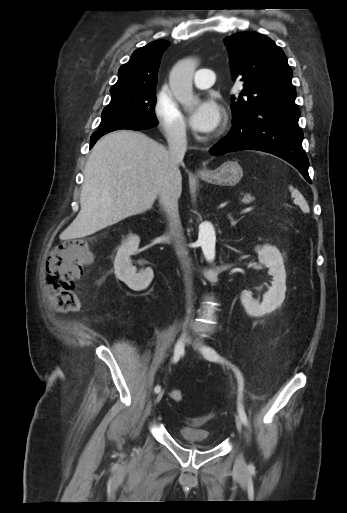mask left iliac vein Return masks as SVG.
Here are the masks:
<instances>
[{
    "label": "left iliac vein",
    "mask_w": 347,
    "mask_h": 513,
    "mask_svg": "<svg viewBox=\"0 0 347 513\" xmlns=\"http://www.w3.org/2000/svg\"><path fill=\"white\" fill-rule=\"evenodd\" d=\"M193 343L195 345V347L201 351L202 350V347H203V343H202V340L200 337H195L193 339ZM235 422H236V427H237V430L239 433L242 432V420L240 418V416L236 415L235 416ZM246 469V462L244 460V457L242 454H240L235 462V470L237 472H242Z\"/></svg>",
    "instance_id": "obj_1"
}]
</instances>
